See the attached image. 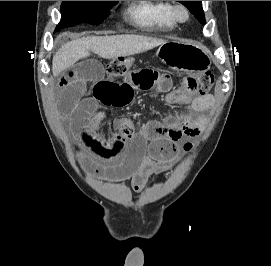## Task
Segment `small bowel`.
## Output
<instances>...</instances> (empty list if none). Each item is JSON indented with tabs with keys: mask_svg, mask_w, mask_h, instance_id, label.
<instances>
[{
	"mask_svg": "<svg viewBox=\"0 0 271 266\" xmlns=\"http://www.w3.org/2000/svg\"><path fill=\"white\" fill-rule=\"evenodd\" d=\"M57 105L69 121L71 131L82 149L81 164L97 175L116 181L130 180L141 191L153 175L169 171L177 143L202 130L205 118L196 117L212 104L211 95L192 96L182 88L171 89L170 77L148 64L129 68L121 81L108 78L95 60L80 61L57 69ZM166 93L167 105H182L167 121H150L135 129L130 119L116 121L108 138L101 132L104 118L100 105L124 107L136 90ZM129 142L131 145L129 146ZM92 159L112 163L100 167Z\"/></svg>",
	"mask_w": 271,
	"mask_h": 266,
	"instance_id": "c3829d8e",
	"label": "small bowel"
}]
</instances>
